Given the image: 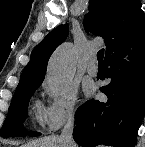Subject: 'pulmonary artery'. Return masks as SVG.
Wrapping results in <instances>:
<instances>
[{
	"label": "pulmonary artery",
	"mask_w": 145,
	"mask_h": 147,
	"mask_svg": "<svg viewBox=\"0 0 145 147\" xmlns=\"http://www.w3.org/2000/svg\"><path fill=\"white\" fill-rule=\"evenodd\" d=\"M96 57L95 56H91L89 59V63L87 66V72L90 76H96L98 74V67L96 65Z\"/></svg>",
	"instance_id": "obj_1"
}]
</instances>
